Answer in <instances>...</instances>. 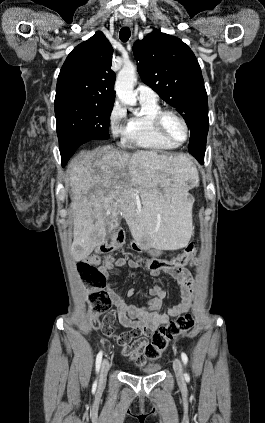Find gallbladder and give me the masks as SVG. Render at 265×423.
<instances>
[{"instance_id":"obj_1","label":"gallbladder","mask_w":265,"mask_h":423,"mask_svg":"<svg viewBox=\"0 0 265 423\" xmlns=\"http://www.w3.org/2000/svg\"><path fill=\"white\" fill-rule=\"evenodd\" d=\"M118 225H119L118 218L113 219L111 223L109 224V232L112 231L113 229H116Z\"/></svg>"}]
</instances>
